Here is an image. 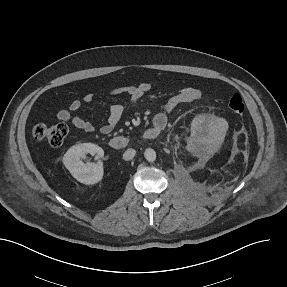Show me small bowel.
<instances>
[{
    "label": "small bowel",
    "instance_id": "small-bowel-1",
    "mask_svg": "<svg viewBox=\"0 0 287 287\" xmlns=\"http://www.w3.org/2000/svg\"><path fill=\"white\" fill-rule=\"evenodd\" d=\"M149 83L143 82L138 85L122 86L114 88L112 94H125L128 97V106L134 107L139 103L141 98L150 91ZM201 91L193 86L183 87L176 95L170 97L162 105L160 111L154 116V126L160 130L164 129L169 120V114L182 104L191 103L201 98ZM94 100V94L86 93L82 99L72 100L68 106L57 112V118L64 122L71 123L75 128L84 132H93L94 125L77 115V112L84 104L91 103ZM125 107L122 104H113L109 109L107 121L100 127V132L103 134L110 133L118 124L123 116Z\"/></svg>",
    "mask_w": 287,
    "mask_h": 287
}]
</instances>
